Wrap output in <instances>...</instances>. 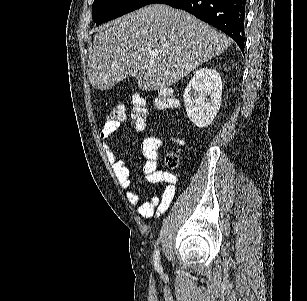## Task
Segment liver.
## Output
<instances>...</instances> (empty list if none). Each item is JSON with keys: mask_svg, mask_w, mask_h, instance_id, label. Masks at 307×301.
<instances>
[{"mask_svg": "<svg viewBox=\"0 0 307 301\" xmlns=\"http://www.w3.org/2000/svg\"><path fill=\"white\" fill-rule=\"evenodd\" d=\"M230 44V36L186 10L147 4L98 26L87 58L88 76L98 90H108L127 76H135L141 90H158Z\"/></svg>", "mask_w": 307, "mask_h": 301, "instance_id": "6515ba94", "label": "liver"}]
</instances>
